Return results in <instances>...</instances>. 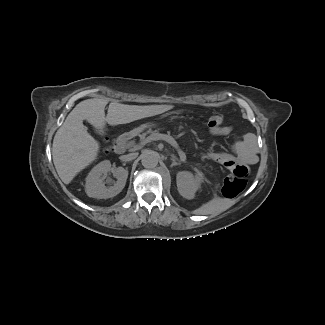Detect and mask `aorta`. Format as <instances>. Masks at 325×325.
Listing matches in <instances>:
<instances>
[{
	"instance_id": "aorta-1",
	"label": "aorta",
	"mask_w": 325,
	"mask_h": 325,
	"mask_svg": "<svg viewBox=\"0 0 325 325\" xmlns=\"http://www.w3.org/2000/svg\"><path fill=\"white\" fill-rule=\"evenodd\" d=\"M158 160V154L151 150H147L141 155V163L145 168H155L158 164Z\"/></svg>"
}]
</instances>
